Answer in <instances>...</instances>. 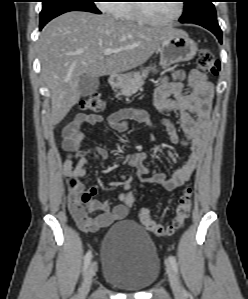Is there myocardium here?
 Wrapping results in <instances>:
<instances>
[{"instance_id": "f54148a6", "label": "myocardium", "mask_w": 248, "mask_h": 299, "mask_svg": "<svg viewBox=\"0 0 248 299\" xmlns=\"http://www.w3.org/2000/svg\"><path fill=\"white\" fill-rule=\"evenodd\" d=\"M176 3H177L176 14L167 19H158V18H155V17L151 16L150 14H148L147 11L145 10V3H137V4H135L134 8H135V12H136L138 18L140 19V21H142L144 23H148V24H153V25H167V24L173 23V22L177 21L178 19H180V17L182 16V14L184 12L183 1L176 0Z\"/></svg>"}]
</instances>
